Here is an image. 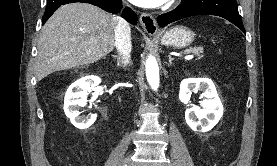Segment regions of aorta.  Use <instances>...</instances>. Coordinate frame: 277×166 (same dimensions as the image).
Returning <instances> with one entry per match:
<instances>
[{
  "instance_id": "obj_1",
  "label": "aorta",
  "mask_w": 277,
  "mask_h": 166,
  "mask_svg": "<svg viewBox=\"0 0 277 166\" xmlns=\"http://www.w3.org/2000/svg\"><path fill=\"white\" fill-rule=\"evenodd\" d=\"M146 77L151 88L156 91L159 87V67L153 56H148L146 60Z\"/></svg>"
}]
</instances>
